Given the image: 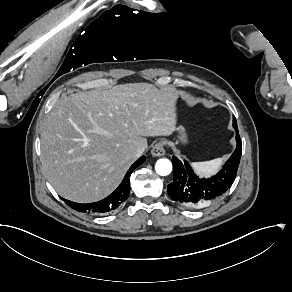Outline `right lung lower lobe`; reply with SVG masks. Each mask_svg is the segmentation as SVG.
<instances>
[{
    "label": "right lung lower lobe",
    "mask_w": 292,
    "mask_h": 292,
    "mask_svg": "<svg viewBox=\"0 0 292 292\" xmlns=\"http://www.w3.org/2000/svg\"><path fill=\"white\" fill-rule=\"evenodd\" d=\"M145 161V157L142 156L140 159H138L128 170L126 173L123 181L119 185V187L108 197L105 199L95 202V203H88V204H81V203H75L69 200H65L62 198V200L69 205L71 208L75 209L78 212H84L88 214H98V213H106L109 211H112L118 206H120L129 196L130 192V182L129 177L131 173L134 171V169L142 164Z\"/></svg>",
    "instance_id": "right-lung-lower-lobe-1"
}]
</instances>
